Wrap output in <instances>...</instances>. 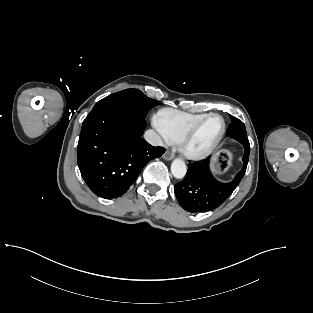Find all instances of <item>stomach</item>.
Wrapping results in <instances>:
<instances>
[{"label": "stomach", "mask_w": 313, "mask_h": 313, "mask_svg": "<svg viewBox=\"0 0 313 313\" xmlns=\"http://www.w3.org/2000/svg\"><path fill=\"white\" fill-rule=\"evenodd\" d=\"M232 155L228 150H220L216 152L212 159V169L216 174H221L231 165Z\"/></svg>", "instance_id": "0dacf381"}]
</instances>
